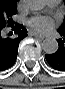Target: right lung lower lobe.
I'll use <instances>...</instances> for the list:
<instances>
[{
	"label": "right lung lower lobe",
	"instance_id": "right-lung-lower-lobe-1",
	"mask_svg": "<svg viewBox=\"0 0 65 89\" xmlns=\"http://www.w3.org/2000/svg\"><path fill=\"white\" fill-rule=\"evenodd\" d=\"M0 29V71L10 68L16 61L20 41L27 36V30L22 25L15 24L12 30L16 34L14 38H6ZM13 34V33H12Z\"/></svg>",
	"mask_w": 65,
	"mask_h": 89
}]
</instances>
